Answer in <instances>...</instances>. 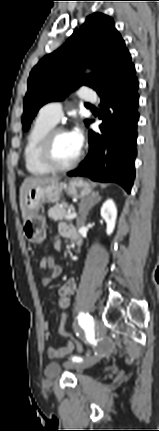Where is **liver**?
Masks as SVG:
<instances>
[{
	"label": "liver",
	"instance_id": "1",
	"mask_svg": "<svg viewBox=\"0 0 159 431\" xmlns=\"http://www.w3.org/2000/svg\"><path fill=\"white\" fill-rule=\"evenodd\" d=\"M58 181H59L58 177H39V176L28 177L23 181L20 187V208L22 211V217L24 221L27 217V209L25 205V196L27 191L35 187L44 186Z\"/></svg>",
	"mask_w": 159,
	"mask_h": 431
}]
</instances>
